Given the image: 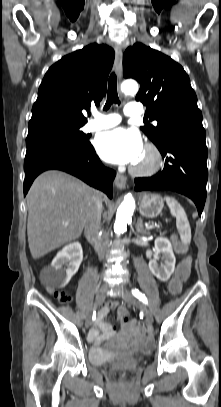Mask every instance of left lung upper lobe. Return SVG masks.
Masks as SVG:
<instances>
[{"instance_id": "obj_1", "label": "left lung upper lobe", "mask_w": 221, "mask_h": 407, "mask_svg": "<svg viewBox=\"0 0 221 407\" xmlns=\"http://www.w3.org/2000/svg\"><path fill=\"white\" fill-rule=\"evenodd\" d=\"M123 75L140 83L136 100L146 105L149 118L158 122L157 126L141 127L155 145L160 144L173 127H203L190 79L170 57L136 43L123 55Z\"/></svg>"}]
</instances>
